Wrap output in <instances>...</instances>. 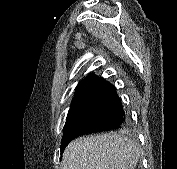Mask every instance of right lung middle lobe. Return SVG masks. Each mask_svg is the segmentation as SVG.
Wrapping results in <instances>:
<instances>
[{"instance_id":"1","label":"right lung middle lobe","mask_w":177,"mask_h":169,"mask_svg":"<svg viewBox=\"0 0 177 169\" xmlns=\"http://www.w3.org/2000/svg\"><path fill=\"white\" fill-rule=\"evenodd\" d=\"M88 102L89 97L86 92H83L80 95H75L70 106L66 121L78 115Z\"/></svg>"}]
</instances>
